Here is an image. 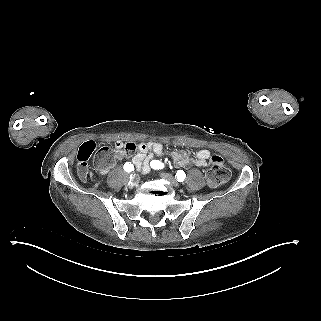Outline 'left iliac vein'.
Segmentation results:
<instances>
[{
  "label": "left iliac vein",
  "instance_id": "1",
  "mask_svg": "<svg viewBox=\"0 0 321 321\" xmlns=\"http://www.w3.org/2000/svg\"><path fill=\"white\" fill-rule=\"evenodd\" d=\"M160 176L165 179L166 181H168L169 183H171L173 186L178 187L179 183L176 180V178L174 176H172L169 173H161Z\"/></svg>",
  "mask_w": 321,
  "mask_h": 321
}]
</instances>
